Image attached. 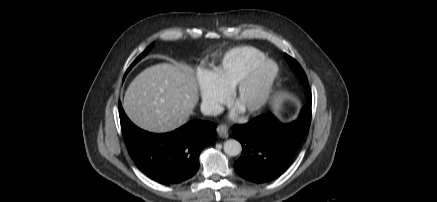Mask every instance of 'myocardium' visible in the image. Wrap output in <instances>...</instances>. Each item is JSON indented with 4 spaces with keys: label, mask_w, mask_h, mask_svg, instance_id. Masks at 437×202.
<instances>
[{
    "label": "myocardium",
    "mask_w": 437,
    "mask_h": 202,
    "mask_svg": "<svg viewBox=\"0 0 437 202\" xmlns=\"http://www.w3.org/2000/svg\"><path fill=\"white\" fill-rule=\"evenodd\" d=\"M267 66L272 67L271 75L266 80L258 99L252 105L241 110L244 116H252L259 113L269 102L275 83L279 77L280 69L278 64L272 59H263L254 64L244 77L238 82L232 91V102L237 104L242 95L254 83L261 70Z\"/></svg>",
    "instance_id": "obj_1"
}]
</instances>
